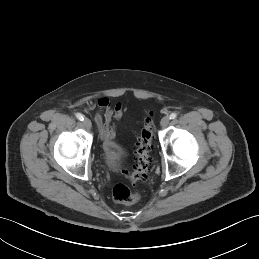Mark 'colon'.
Returning <instances> with one entry per match:
<instances>
[{
	"label": "colon",
	"instance_id": "obj_1",
	"mask_svg": "<svg viewBox=\"0 0 259 259\" xmlns=\"http://www.w3.org/2000/svg\"><path fill=\"white\" fill-rule=\"evenodd\" d=\"M153 113H148L144 121V127L137 139L135 145L134 169L132 172H126V177L132 184L144 179L151 169L150 152L153 148ZM113 200L117 203L132 204L139 200L140 193L131 190L124 184H117L112 190Z\"/></svg>",
	"mask_w": 259,
	"mask_h": 259
}]
</instances>
